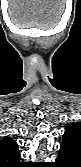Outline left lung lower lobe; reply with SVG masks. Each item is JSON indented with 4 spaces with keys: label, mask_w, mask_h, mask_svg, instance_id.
<instances>
[{
    "label": "left lung lower lobe",
    "mask_w": 81,
    "mask_h": 167,
    "mask_svg": "<svg viewBox=\"0 0 81 167\" xmlns=\"http://www.w3.org/2000/svg\"><path fill=\"white\" fill-rule=\"evenodd\" d=\"M55 167H80V163L66 149L60 147Z\"/></svg>",
    "instance_id": "1"
}]
</instances>
